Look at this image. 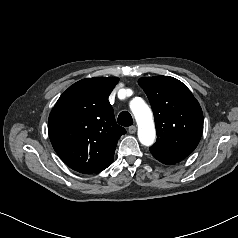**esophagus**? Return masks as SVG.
<instances>
[{
    "instance_id": "obj_1",
    "label": "esophagus",
    "mask_w": 238,
    "mask_h": 238,
    "mask_svg": "<svg viewBox=\"0 0 238 238\" xmlns=\"http://www.w3.org/2000/svg\"><path fill=\"white\" fill-rule=\"evenodd\" d=\"M136 130H137L136 126H130V127L128 128V132H129L130 134H134V133L136 132Z\"/></svg>"
}]
</instances>
